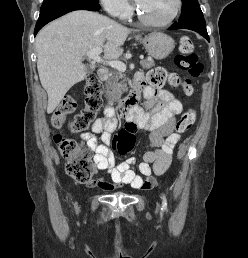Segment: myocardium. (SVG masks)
Segmentation results:
<instances>
[{
	"instance_id": "obj_1",
	"label": "myocardium",
	"mask_w": 248,
	"mask_h": 258,
	"mask_svg": "<svg viewBox=\"0 0 248 258\" xmlns=\"http://www.w3.org/2000/svg\"><path fill=\"white\" fill-rule=\"evenodd\" d=\"M181 9H182V0H176V8H175L174 13L167 20L161 21V22H156V21L149 20L148 18H146L141 13L139 8H136V16H137L138 20L146 26H149V27H166V26H169L170 24H172L175 21V19L178 17V15L181 12Z\"/></svg>"
}]
</instances>
